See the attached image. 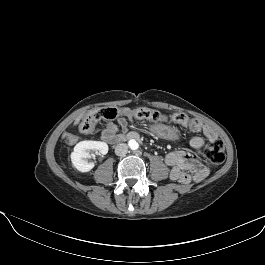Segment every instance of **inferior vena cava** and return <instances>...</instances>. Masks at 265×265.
Masks as SVG:
<instances>
[{"label": "inferior vena cava", "mask_w": 265, "mask_h": 265, "mask_svg": "<svg viewBox=\"0 0 265 265\" xmlns=\"http://www.w3.org/2000/svg\"><path fill=\"white\" fill-rule=\"evenodd\" d=\"M127 152H128V145L125 143L117 144V146L115 147V154L117 156H124L127 154Z\"/></svg>", "instance_id": "602c4592"}]
</instances>
